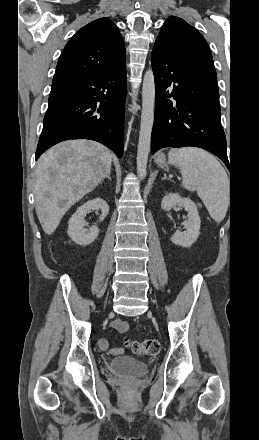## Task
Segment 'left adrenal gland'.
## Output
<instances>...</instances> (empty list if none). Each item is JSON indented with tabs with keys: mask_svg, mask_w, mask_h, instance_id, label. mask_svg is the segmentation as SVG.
Listing matches in <instances>:
<instances>
[{
	"mask_svg": "<svg viewBox=\"0 0 259 440\" xmlns=\"http://www.w3.org/2000/svg\"><path fill=\"white\" fill-rule=\"evenodd\" d=\"M165 179L171 180L170 178L167 177L166 173H164V176H163L162 180H165Z\"/></svg>",
	"mask_w": 259,
	"mask_h": 440,
	"instance_id": "a2214340",
	"label": "left adrenal gland"
}]
</instances>
